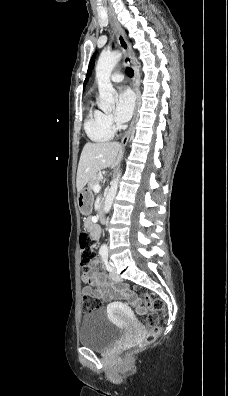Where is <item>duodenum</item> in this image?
Returning a JSON list of instances; mask_svg holds the SVG:
<instances>
[{
	"label": "duodenum",
	"mask_w": 228,
	"mask_h": 396,
	"mask_svg": "<svg viewBox=\"0 0 228 396\" xmlns=\"http://www.w3.org/2000/svg\"><path fill=\"white\" fill-rule=\"evenodd\" d=\"M99 219L101 222H105V211L104 206H101L99 209Z\"/></svg>",
	"instance_id": "duodenum-1"
}]
</instances>
